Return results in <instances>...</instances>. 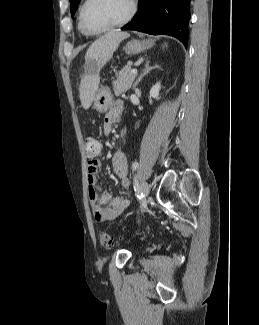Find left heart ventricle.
Here are the masks:
<instances>
[{
    "mask_svg": "<svg viewBox=\"0 0 259 325\" xmlns=\"http://www.w3.org/2000/svg\"><path fill=\"white\" fill-rule=\"evenodd\" d=\"M130 9V0H93L85 13L91 29H101L122 20Z\"/></svg>",
    "mask_w": 259,
    "mask_h": 325,
    "instance_id": "left-heart-ventricle-1",
    "label": "left heart ventricle"
}]
</instances>
